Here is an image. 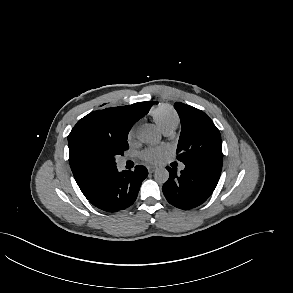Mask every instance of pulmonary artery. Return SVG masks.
<instances>
[{
    "instance_id": "pulmonary-artery-1",
    "label": "pulmonary artery",
    "mask_w": 293,
    "mask_h": 293,
    "mask_svg": "<svg viewBox=\"0 0 293 293\" xmlns=\"http://www.w3.org/2000/svg\"><path fill=\"white\" fill-rule=\"evenodd\" d=\"M172 132L171 131H168V132H164V134H166V135H170ZM125 159H123V160H121V164H124L125 163ZM181 169H184V166L183 165H181V167H180Z\"/></svg>"
}]
</instances>
